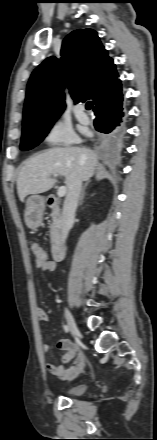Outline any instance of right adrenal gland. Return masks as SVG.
I'll use <instances>...</instances> for the list:
<instances>
[{"label":"right adrenal gland","mask_w":157,"mask_h":440,"mask_svg":"<svg viewBox=\"0 0 157 440\" xmlns=\"http://www.w3.org/2000/svg\"><path fill=\"white\" fill-rule=\"evenodd\" d=\"M87 186H88V183H86L83 186V188H82L81 195H80V198H79V206L82 205V203H83V199H84V196H85V189H86Z\"/></svg>","instance_id":"right-adrenal-gland-1"}]
</instances>
